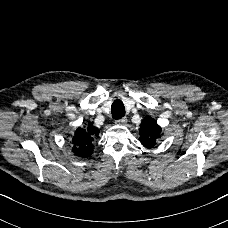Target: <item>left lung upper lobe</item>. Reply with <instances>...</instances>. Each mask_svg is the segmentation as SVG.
<instances>
[{
    "label": "left lung upper lobe",
    "mask_w": 228,
    "mask_h": 228,
    "mask_svg": "<svg viewBox=\"0 0 228 228\" xmlns=\"http://www.w3.org/2000/svg\"><path fill=\"white\" fill-rule=\"evenodd\" d=\"M161 137V127L151 118L146 117L140 125V142L146 148H151L156 144V140Z\"/></svg>",
    "instance_id": "left-lung-upper-lobe-1"
}]
</instances>
